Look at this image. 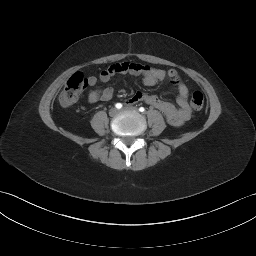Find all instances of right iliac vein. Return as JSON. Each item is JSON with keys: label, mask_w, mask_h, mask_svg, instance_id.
Wrapping results in <instances>:
<instances>
[{"label": "right iliac vein", "mask_w": 256, "mask_h": 256, "mask_svg": "<svg viewBox=\"0 0 256 256\" xmlns=\"http://www.w3.org/2000/svg\"><path fill=\"white\" fill-rule=\"evenodd\" d=\"M118 113H119V111L116 108H111L109 111V115L112 117H115Z\"/></svg>", "instance_id": "63e3f726"}]
</instances>
